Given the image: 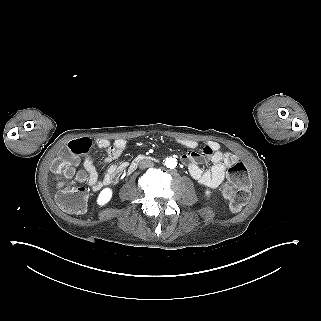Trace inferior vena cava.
Returning a JSON list of instances; mask_svg holds the SVG:
<instances>
[{"instance_id": "obj_1", "label": "inferior vena cava", "mask_w": 321, "mask_h": 321, "mask_svg": "<svg viewBox=\"0 0 321 321\" xmlns=\"http://www.w3.org/2000/svg\"><path fill=\"white\" fill-rule=\"evenodd\" d=\"M153 166H154V162L151 161V160H141L139 162V168L140 169H145V168L153 167Z\"/></svg>"}]
</instances>
